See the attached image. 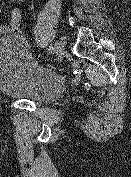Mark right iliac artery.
<instances>
[{"label":"right iliac artery","instance_id":"82829eb1","mask_svg":"<svg viewBox=\"0 0 131 177\" xmlns=\"http://www.w3.org/2000/svg\"><path fill=\"white\" fill-rule=\"evenodd\" d=\"M54 51V47L53 46H49L48 48H47V52L48 53H52Z\"/></svg>","mask_w":131,"mask_h":177}]
</instances>
